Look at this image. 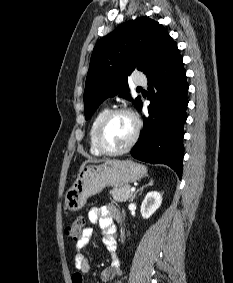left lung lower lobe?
<instances>
[{
  "label": "left lung lower lobe",
  "instance_id": "1",
  "mask_svg": "<svg viewBox=\"0 0 233 283\" xmlns=\"http://www.w3.org/2000/svg\"><path fill=\"white\" fill-rule=\"evenodd\" d=\"M147 78L151 101L149 116L131 155L148 163L166 164L181 179L188 84L177 45L167 52ZM138 109H142V102Z\"/></svg>",
  "mask_w": 233,
  "mask_h": 283
}]
</instances>
